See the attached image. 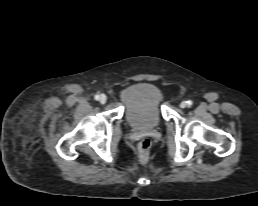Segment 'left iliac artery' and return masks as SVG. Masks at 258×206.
<instances>
[{
  "label": "left iliac artery",
  "instance_id": "left-iliac-artery-1",
  "mask_svg": "<svg viewBox=\"0 0 258 206\" xmlns=\"http://www.w3.org/2000/svg\"><path fill=\"white\" fill-rule=\"evenodd\" d=\"M187 104H188L189 106H191V105L193 104V102H192L191 100H189V101H187Z\"/></svg>",
  "mask_w": 258,
  "mask_h": 206
}]
</instances>
